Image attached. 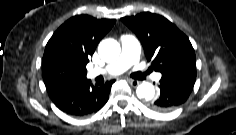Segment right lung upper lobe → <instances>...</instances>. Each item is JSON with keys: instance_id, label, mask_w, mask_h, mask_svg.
Listing matches in <instances>:
<instances>
[{"instance_id": "right-lung-upper-lobe-1", "label": "right lung upper lobe", "mask_w": 236, "mask_h": 135, "mask_svg": "<svg viewBox=\"0 0 236 135\" xmlns=\"http://www.w3.org/2000/svg\"><path fill=\"white\" fill-rule=\"evenodd\" d=\"M115 19H96L77 15L62 24L48 41L42 68L56 57H62L79 68H86L88 58L94 53L98 42L107 34Z\"/></svg>"}]
</instances>
